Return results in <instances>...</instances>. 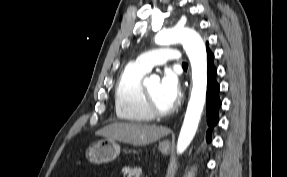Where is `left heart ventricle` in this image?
I'll return each mask as SVG.
<instances>
[{
    "label": "left heart ventricle",
    "mask_w": 287,
    "mask_h": 177,
    "mask_svg": "<svg viewBox=\"0 0 287 177\" xmlns=\"http://www.w3.org/2000/svg\"><path fill=\"white\" fill-rule=\"evenodd\" d=\"M151 96L153 97L156 105L162 109V110H167L171 108L173 105L165 99L161 92V83L160 82H155L153 84H150L147 86Z\"/></svg>",
    "instance_id": "b2bd125f"
}]
</instances>
